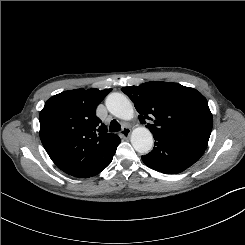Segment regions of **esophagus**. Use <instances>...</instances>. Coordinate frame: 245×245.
<instances>
[{
    "label": "esophagus",
    "instance_id": "34e87169",
    "mask_svg": "<svg viewBox=\"0 0 245 245\" xmlns=\"http://www.w3.org/2000/svg\"><path fill=\"white\" fill-rule=\"evenodd\" d=\"M131 134V129L128 128V127H124L121 131V135L124 137V138H128Z\"/></svg>",
    "mask_w": 245,
    "mask_h": 245
}]
</instances>
